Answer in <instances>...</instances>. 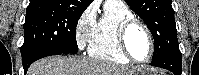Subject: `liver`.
Listing matches in <instances>:
<instances>
[{
    "mask_svg": "<svg viewBox=\"0 0 199 75\" xmlns=\"http://www.w3.org/2000/svg\"><path fill=\"white\" fill-rule=\"evenodd\" d=\"M135 68L109 61L71 56H52L34 62L27 75H133Z\"/></svg>",
    "mask_w": 199,
    "mask_h": 75,
    "instance_id": "1",
    "label": "liver"
}]
</instances>
